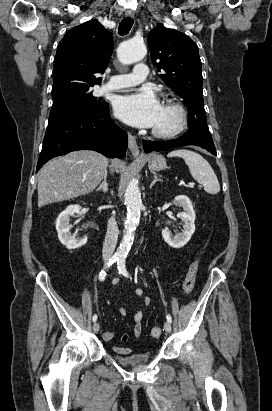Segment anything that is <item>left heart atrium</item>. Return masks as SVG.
<instances>
[{"label":"left heart atrium","instance_id":"1","mask_svg":"<svg viewBox=\"0 0 272 411\" xmlns=\"http://www.w3.org/2000/svg\"><path fill=\"white\" fill-rule=\"evenodd\" d=\"M114 111L125 123L139 128L155 127L162 107L151 91L142 90L119 96L114 103Z\"/></svg>","mask_w":272,"mask_h":411}]
</instances>
